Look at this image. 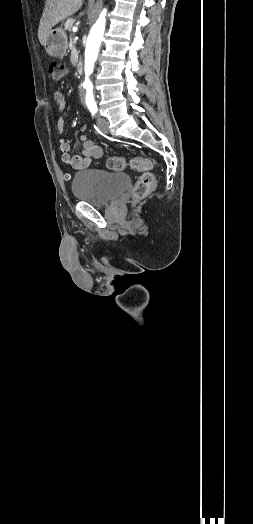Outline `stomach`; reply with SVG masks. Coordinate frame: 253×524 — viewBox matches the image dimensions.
Here are the masks:
<instances>
[{"label":"stomach","mask_w":253,"mask_h":524,"mask_svg":"<svg viewBox=\"0 0 253 524\" xmlns=\"http://www.w3.org/2000/svg\"><path fill=\"white\" fill-rule=\"evenodd\" d=\"M67 35L61 27L51 29L45 44L46 52L55 58H62L67 49Z\"/></svg>","instance_id":"stomach-1"}]
</instances>
